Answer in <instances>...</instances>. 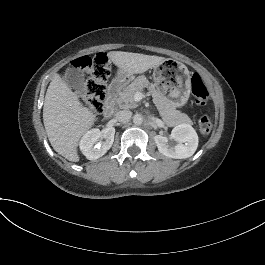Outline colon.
Returning a JSON list of instances; mask_svg holds the SVG:
<instances>
[{"label":"colon","mask_w":265,"mask_h":265,"mask_svg":"<svg viewBox=\"0 0 265 265\" xmlns=\"http://www.w3.org/2000/svg\"><path fill=\"white\" fill-rule=\"evenodd\" d=\"M74 68L86 69L90 76L86 86L84 105L91 111L98 113L103 108L106 96V81L110 75V60L106 53L99 52L93 56H81L72 62ZM192 93L198 105H205L209 91L198 74L191 78ZM212 130V122L209 117L202 116L199 119V131L207 135Z\"/></svg>","instance_id":"colon-1"}]
</instances>
